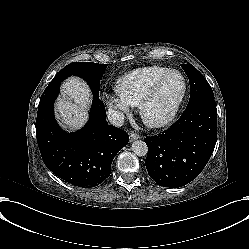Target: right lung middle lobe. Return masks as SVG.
<instances>
[{
	"instance_id": "1",
	"label": "right lung middle lobe",
	"mask_w": 249,
	"mask_h": 249,
	"mask_svg": "<svg viewBox=\"0 0 249 249\" xmlns=\"http://www.w3.org/2000/svg\"><path fill=\"white\" fill-rule=\"evenodd\" d=\"M107 64H98L92 62H74L65 66L55 76L53 82L63 81L66 77L77 75L85 79L89 84L94 97L99 98L100 80L105 72Z\"/></svg>"
}]
</instances>
